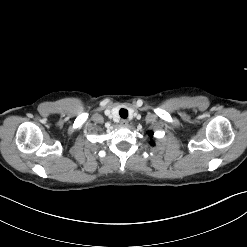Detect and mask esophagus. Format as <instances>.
I'll return each mask as SVG.
<instances>
[{
	"label": "esophagus",
	"instance_id": "obj_1",
	"mask_svg": "<svg viewBox=\"0 0 247 247\" xmlns=\"http://www.w3.org/2000/svg\"><path fill=\"white\" fill-rule=\"evenodd\" d=\"M121 125L122 126H127L128 125V121L127 120H122L121 121Z\"/></svg>",
	"mask_w": 247,
	"mask_h": 247
}]
</instances>
